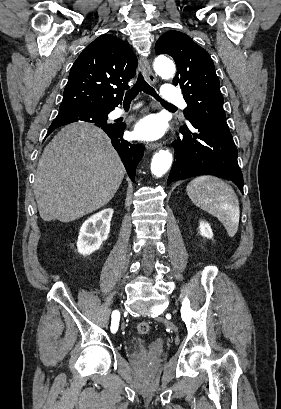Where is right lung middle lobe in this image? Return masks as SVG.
Masks as SVG:
<instances>
[{"instance_id": "dd1d6c3e", "label": "right lung middle lobe", "mask_w": 281, "mask_h": 409, "mask_svg": "<svg viewBox=\"0 0 281 409\" xmlns=\"http://www.w3.org/2000/svg\"><path fill=\"white\" fill-rule=\"evenodd\" d=\"M77 121H87L93 123L95 120H91L89 118H68V117H56L55 120L52 122L49 130H54L57 127L72 123V122H77Z\"/></svg>"}]
</instances>
